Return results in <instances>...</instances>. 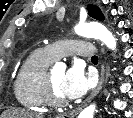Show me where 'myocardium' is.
Here are the masks:
<instances>
[{
  "label": "myocardium",
  "instance_id": "myocardium-1",
  "mask_svg": "<svg viewBox=\"0 0 133 118\" xmlns=\"http://www.w3.org/2000/svg\"><path fill=\"white\" fill-rule=\"evenodd\" d=\"M43 99L46 105L52 108H63L68 105L65 98L55 95L49 73L46 72L43 81Z\"/></svg>",
  "mask_w": 133,
  "mask_h": 118
}]
</instances>
